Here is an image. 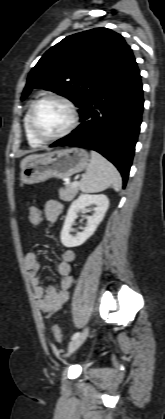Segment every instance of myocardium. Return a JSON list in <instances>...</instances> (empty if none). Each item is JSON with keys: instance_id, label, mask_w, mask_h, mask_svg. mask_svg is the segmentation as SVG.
I'll list each match as a JSON object with an SVG mask.
<instances>
[{"instance_id": "f54148a6", "label": "myocardium", "mask_w": 165, "mask_h": 419, "mask_svg": "<svg viewBox=\"0 0 165 419\" xmlns=\"http://www.w3.org/2000/svg\"><path fill=\"white\" fill-rule=\"evenodd\" d=\"M47 100H54V101L62 103L63 105H65V107L68 109V111L70 113V122L67 125V127L63 131H61L60 133H58L54 136H50V137L42 136L37 131L36 126H35V121H34V115H35V111H36L37 107L42 102L47 101ZM78 120H79V114H78L77 108L73 104V102H71L68 98H66L64 96L57 95V94H49V95H45V96L37 99L31 105V107L29 109V115H28V125H29L30 132L34 136V138L41 143L54 142V141L60 140L64 137L68 136L77 126Z\"/></svg>"}]
</instances>
